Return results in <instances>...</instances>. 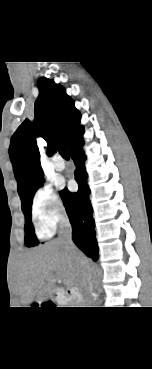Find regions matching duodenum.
Wrapping results in <instances>:
<instances>
[{
	"mask_svg": "<svg viewBox=\"0 0 152 369\" xmlns=\"http://www.w3.org/2000/svg\"><path fill=\"white\" fill-rule=\"evenodd\" d=\"M55 297L57 300L65 299L67 301H72V300L78 301L82 299L81 293L75 288L69 289L65 292H57Z\"/></svg>",
	"mask_w": 152,
	"mask_h": 369,
	"instance_id": "obj_1",
	"label": "duodenum"
}]
</instances>
